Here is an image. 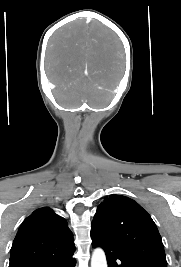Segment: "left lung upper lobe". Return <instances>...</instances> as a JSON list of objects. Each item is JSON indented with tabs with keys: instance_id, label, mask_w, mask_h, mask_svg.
Listing matches in <instances>:
<instances>
[{
	"instance_id": "left-lung-upper-lobe-1",
	"label": "left lung upper lobe",
	"mask_w": 181,
	"mask_h": 267,
	"mask_svg": "<svg viewBox=\"0 0 181 267\" xmlns=\"http://www.w3.org/2000/svg\"><path fill=\"white\" fill-rule=\"evenodd\" d=\"M91 237L112 243L154 267H167L164 246L154 221L128 197L112 195L98 206Z\"/></svg>"
}]
</instances>
